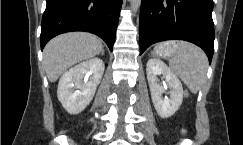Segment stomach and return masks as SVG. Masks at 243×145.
<instances>
[{"mask_svg": "<svg viewBox=\"0 0 243 145\" xmlns=\"http://www.w3.org/2000/svg\"><path fill=\"white\" fill-rule=\"evenodd\" d=\"M154 53L162 58L171 57L174 55L175 50L172 46V42L161 43L154 49Z\"/></svg>", "mask_w": 243, "mask_h": 145, "instance_id": "1", "label": "stomach"}]
</instances>
